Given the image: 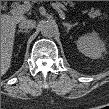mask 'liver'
Segmentation results:
<instances>
[{"label": "liver", "instance_id": "6515ba94", "mask_svg": "<svg viewBox=\"0 0 109 109\" xmlns=\"http://www.w3.org/2000/svg\"><path fill=\"white\" fill-rule=\"evenodd\" d=\"M24 19H25L24 15L1 16V74L2 75H4L11 66L16 25Z\"/></svg>", "mask_w": 109, "mask_h": 109}]
</instances>
